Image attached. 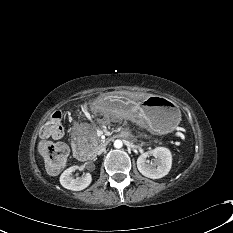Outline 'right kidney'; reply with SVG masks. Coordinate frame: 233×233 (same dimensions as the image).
Returning a JSON list of instances; mask_svg holds the SVG:
<instances>
[{"mask_svg":"<svg viewBox=\"0 0 233 233\" xmlns=\"http://www.w3.org/2000/svg\"><path fill=\"white\" fill-rule=\"evenodd\" d=\"M77 169H79L78 166H71L61 174L60 183L64 188L72 191H81L90 185L92 177L89 173L84 174L81 178H73L72 173Z\"/></svg>","mask_w":233,"mask_h":233,"instance_id":"1","label":"right kidney"}]
</instances>
